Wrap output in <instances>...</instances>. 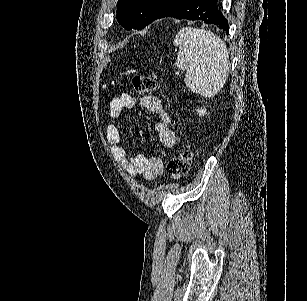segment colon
<instances>
[{
	"label": "colon",
	"mask_w": 307,
	"mask_h": 301,
	"mask_svg": "<svg viewBox=\"0 0 307 301\" xmlns=\"http://www.w3.org/2000/svg\"><path fill=\"white\" fill-rule=\"evenodd\" d=\"M134 91L139 95H144L155 90L157 86L156 79L150 75H137L132 79ZM192 160V153L189 150H183L169 160L167 164V173L173 179L185 177L189 170Z\"/></svg>",
	"instance_id": "1"
}]
</instances>
